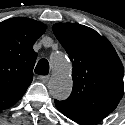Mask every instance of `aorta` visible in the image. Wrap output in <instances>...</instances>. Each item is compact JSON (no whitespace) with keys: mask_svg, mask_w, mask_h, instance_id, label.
<instances>
[{"mask_svg":"<svg viewBox=\"0 0 125 125\" xmlns=\"http://www.w3.org/2000/svg\"><path fill=\"white\" fill-rule=\"evenodd\" d=\"M53 74L48 82L50 94L58 100L66 99L72 90V65L62 53H53L50 57Z\"/></svg>","mask_w":125,"mask_h":125,"instance_id":"1","label":"aorta"}]
</instances>
